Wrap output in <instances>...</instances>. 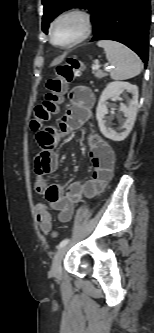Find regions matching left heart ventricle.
Segmentation results:
<instances>
[{"instance_id": "b2bd125f", "label": "left heart ventricle", "mask_w": 154, "mask_h": 333, "mask_svg": "<svg viewBox=\"0 0 154 333\" xmlns=\"http://www.w3.org/2000/svg\"><path fill=\"white\" fill-rule=\"evenodd\" d=\"M81 23L77 18L62 19L55 26L54 38L58 43H67L73 40L79 33Z\"/></svg>"}]
</instances>
